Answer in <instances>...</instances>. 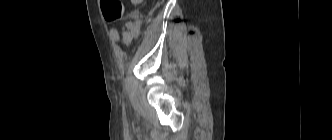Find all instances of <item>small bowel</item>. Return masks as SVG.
Listing matches in <instances>:
<instances>
[{"label":"small bowel","mask_w":332,"mask_h":140,"mask_svg":"<svg viewBox=\"0 0 332 140\" xmlns=\"http://www.w3.org/2000/svg\"><path fill=\"white\" fill-rule=\"evenodd\" d=\"M132 4L138 5L143 0H130ZM140 32V24L137 20V13L132 12L129 14V20L122 24L120 27H113L111 30V39L114 43H117L122 39L126 46L131 45V43L138 37Z\"/></svg>","instance_id":"obj_1"}]
</instances>
